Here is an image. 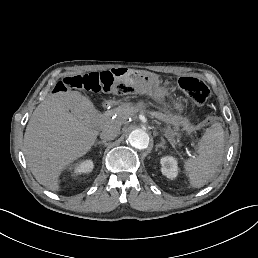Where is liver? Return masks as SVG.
<instances>
[{"instance_id": "6515ba94", "label": "liver", "mask_w": 258, "mask_h": 258, "mask_svg": "<svg viewBox=\"0 0 258 258\" xmlns=\"http://www.w3.org/2000/svg\"><path fill=\"white\" fill-rule=\"evenodd\" d=\"M93 116L101 114L78 92L51 95L34 110L24 134V154L40 184L55 190L59 172L93 145Z\"/></svg>"}]
</instances>
